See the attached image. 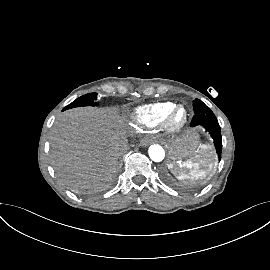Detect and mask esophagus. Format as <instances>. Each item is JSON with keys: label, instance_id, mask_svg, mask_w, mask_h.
I'll return each instance as SVG.
<instances>
[{"label": "esophagus", "instance_id": "1", "mask_svg": "<svg viewBox=\"0 0 270 270\" xmlns=\"http://www.w3.org/2000/svg\"><path fill=\"white\" fill-rule=\"evenodd\" d=\"M151 143V140L150 139H143L140 141V145L141 146H147Z\"/></svg>", "mask_w": 270, "mask_h": 270}]
</instances>
